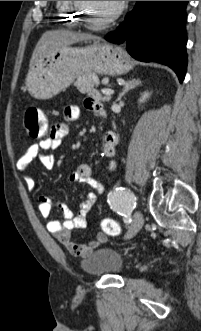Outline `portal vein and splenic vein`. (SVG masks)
<instances>
[{
	"label": "portal vein and splenic vein",
	"mask_w": 201,
	"mask_h": 331,
	"mask_svg": "<svg viewBox=\"0 0 201 331\" xmlns=\"http://www.w3.org/2000/svg\"><path fill=\"white\" fill-rule=\"evenodd\" d=\"M101 92L106 96H111L114 93L113 90L107 88L101 89Z\"/></svg>",
	"instance_id": "18ae733b"
}]
</instances>
